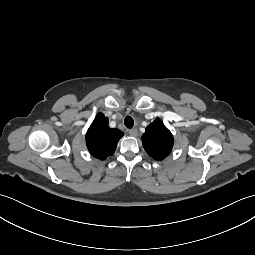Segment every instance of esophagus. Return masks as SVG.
<instances>
[{
  "instance_id": "1",
  "label": "esophagus",
  "mask_w": 255,
  "mask_h": 255,
  "mask_svg": "<svg viewBox=\"0 0 255 255\" xmlns=\"http://www.w3.org/2000/svg\"><path fill=\"white\" fill-rule=\"evenodd\" d=\"M128 133H129L130 136H133V137H136L137 134H138L137 129H130L128 131Z\"/></svg>"
}]
</instances>
